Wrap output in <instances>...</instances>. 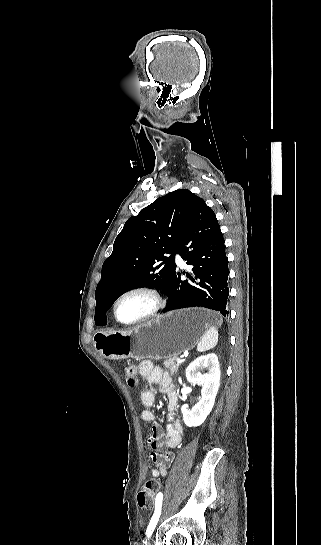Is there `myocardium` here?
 I'll return each instance as SVG.
<instances>
[{"mask_svg": "<svg viewBox=\"0 0 321 545\" xmlns=\"http://www.w3.org/2000/svg\"><path fill=\"white\" fill-rule=\"evenodd\" d=\"M134 294H143V295L149 296L153 301V306L151 310L146 315L142 316L141 318L132 322H124L118 316V313H117L118 304L125 297L134 295ZM166 307H167V299L165 295L159 289L152 286H133L122 291L116 297L113 304V314L116 321L119 324L123 326H128V327H137L156 319L165 310Z\"/></svg>", "mask_w": 321, "mask_h": 545, "instance_id": "1", "label": "myocardium"}]
</instances>
